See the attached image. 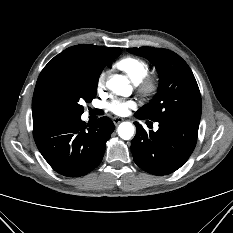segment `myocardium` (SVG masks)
<instances>
[{"label": "myocardium", "mask_w": 233, "mask_h": 233, "mask_svg": "<svg viewBox=\"0 0 233 233\" xmlns=\"http://www.w3.org/2000/svg\"><path fill=\"white\" fill-rule=\"evenodd\" d=\"M136 85L143 96L151 97L158 89V77L154 74H147Z\"/></svg>", "instance_id": "obj_1"}]
</instances>
